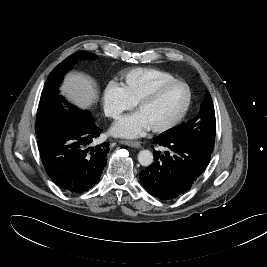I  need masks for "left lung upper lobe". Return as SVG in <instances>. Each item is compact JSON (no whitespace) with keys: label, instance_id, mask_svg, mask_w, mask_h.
<instances>
[{"label":"left lung upper lobe","instance_id":"5c2ea615","mask_svg":"<svg viewBox=\"0 0 267 267\" xmlns=\"http://www.w3.org/2000/svg\"><path fill=\"white\" fill-rule=\"evenodd\" d=\"M216 134V119L212 98L209 92L201 104L198 115L185 124L173 127L159 136L172 139H188L202 145L209 152L213 151Z\"/></svg>","mask_w":267,"mask_h":267}]
</instances>
